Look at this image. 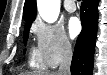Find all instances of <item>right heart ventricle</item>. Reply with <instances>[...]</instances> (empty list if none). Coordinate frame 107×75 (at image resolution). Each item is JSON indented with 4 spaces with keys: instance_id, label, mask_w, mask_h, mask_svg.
Wrapping results in <instances>:
<instances>
[{
    "instance_id": "e07e8e85",
    "label": "right heart ventricle",
    "mask_w": 107,
    "mask_h": 75,
    "mask_svg": "<svg viewBox=\"0 0 107 75\" xmlns=\"http://www.w3.org/2000/svg\"><path fill=\"white\" fill-rule=\"evenodd\" d=\"M28 63L30 67L37 69H41L45 66L44 63L41 61L37 51L34 50L30 53Z\"/></svg>"
}]
</instances>
